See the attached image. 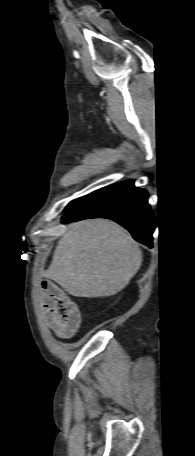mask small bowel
Listing matches in <instances>:
<instances>
[{"instance_id":"small-bowel-1","label":"small bowel","mask_w":195,"mask_h":456,"mask_svg":"<svg viewBox=\"0 0 195 456\" xmlns=\"http://www.w3.org/2000/svg\"><path fill=\"white\" fill-rule=\"evenodd\" d=\"M41 290L40 303L45 324L61 338L71 337L80 326L79 310L53 282L43 281ZM58 303L64 306L63 315L59 312Z\"/></svg>"}]
</instances>
